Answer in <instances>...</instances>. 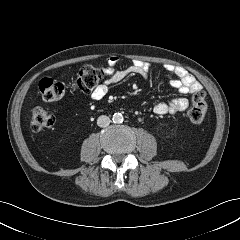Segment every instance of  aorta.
<instances>
[{
    "mask_svg": "<svg viewBox=\"0 0 240 240\" xmlns=\"http://www.w3.org/2000/svg\"><path fill=\"white\" fill-rule=\"evenodd\" d=\"M112 120L114 123H122L123 122V115L121 113H114Z\"/></svg>",
    "mask_w": 240,
    "mask_h": 240,
    "instance_id": "aorta-1",
    "label": "aorta"
}]
</instances>
